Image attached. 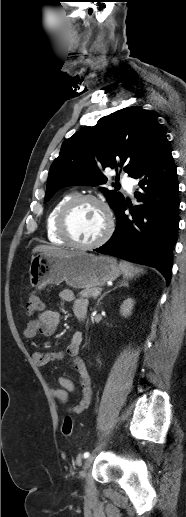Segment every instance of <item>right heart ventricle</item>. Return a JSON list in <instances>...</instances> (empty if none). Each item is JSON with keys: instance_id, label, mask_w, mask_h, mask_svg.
<instances>
[{"instance_id": "1", "label": "right heart ventricle", "mask_w": 186, "mask_h": 517, "mask_svg": "<svg viewBox=\"0 0 186 517\" xmlns=\"http://www.w3.org/2000/svg\"><path fill=\"white\" fill-rule=\"evenodd\" d=\"M74 193L69 192L61 196L50 208L45 219V231L47 239L58 245H65L67 242L60 237L57 231V218L62 207L72 198Z\"/></svg>"}]
</instances>
